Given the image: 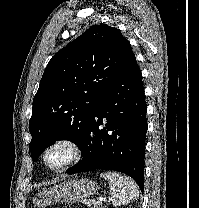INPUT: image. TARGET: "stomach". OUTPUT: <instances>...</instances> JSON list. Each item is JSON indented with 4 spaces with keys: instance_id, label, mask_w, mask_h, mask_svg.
<instances>
[{
    "instance_id": "1",
    "label": "stomach",
    "mask_w": 199,
    "mask_h": 208,
    "mask_svg": "<svg viewBox=\"0 0 199 208\" xmlns=\"http://www.w3.org/2000/svg\"><path fill=\"white\" fill-rule=\"evenodd\" d=\"M99 189V185L93 180L74 179L40 191L32 198V202L37 208L59 202H77L92 197Z\"/></svg>"
}]
</instances>
